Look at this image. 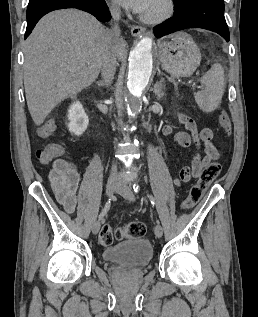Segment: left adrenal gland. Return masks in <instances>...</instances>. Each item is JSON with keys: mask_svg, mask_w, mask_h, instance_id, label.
<instances>
[{"mask_svg": "<svg viewBox=\"0 0 258 317\" xmlns=\"http://www.w3.org/2000/svg\"><path fill=\"white\" fill-rule=\"evenodd\" d=\"M162 82H163V78L162 80H159V82H155L154 88H153V92H155L156 98H158V100H160V98H162L164 94L163 88H165V86L164 84H162Z\"/></svg>", "mask_w": 258, "mask_h": 317, "instance_id": "left-adrenal-gland-1", "label": "left adrenal gland"}]
</instances>
